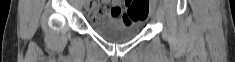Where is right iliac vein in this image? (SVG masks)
Returning <instances> with one entry per match:
<instances>
[{"instance_id":"63e3f726","label":"right iliac vein","mask_w":235,"mask_h":62,"mask_svg":"<svg viewBox=\"0 0 235 62\" xmlns=\"http://www.w3.org/2000/svg\"><path fill=\"white\" fill-rule=\"evenodd\" d=\"M83 6H84V8H87L89 6L88 1H84Z\"/></svg>"}]
</instances>
